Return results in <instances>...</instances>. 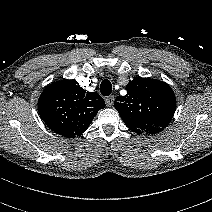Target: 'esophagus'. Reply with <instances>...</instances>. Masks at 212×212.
<instances>
[{"label":"esophagus","instance_id":"1","mask_svg":"<svg viewBox=\"0 0 212 212\" xmlns=\"http://www.w3.org/2000/svg\"><path fill=\"white\" fill-rule=\"evenodd\" d=\"M114 100H115L114 96L111 95V96L107 97L105 101H106V104H107L108 106H112L113 103H114Z\"/></svg>","mask_w":212,"mask_h":212}]
</instances>
